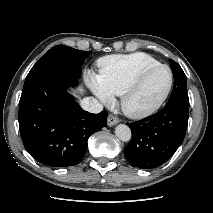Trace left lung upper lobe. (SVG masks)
<instances>
[{
	"mask_svg": "<svg viewBox=\"0 0 213 213\" xmlns=\"http://www.w3.org/2000/svg\"><path fill=\"white\" fill-rule=\"evenodd\" d=\"M170 64L174 74V86L169 100H180L189 103L186 75L175 61L170 60Z\"/></svg>",
	"mask_w": 213,
	"mask_h": 213,
	"instance_id": "5c2ea615",
	"label": "left lung upper lobe"
}]
</instances>
